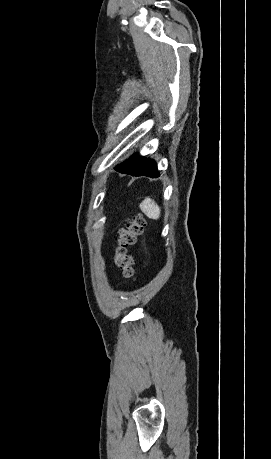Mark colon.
Segmentation results:
<instances>
[{
	"label": "colon",
	"mask_w": 271,
	"mask_h": 459,
	"mask_svg": "<svg viewBox=\"0 0 271 459\" xmlns=\"http://www.w3.org/2000/svg\"><path fill=\"white\" fill-rule=\"evenodd\" d=\"M143 228V218L140 215H136L130 220L129 224L119 232L114 249L113 266L126 278H133L135 276V263L129 253V247L136 243Z\"/></svg>",
	"instance_id": "1"
}]
</instances>
